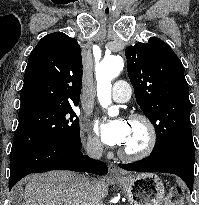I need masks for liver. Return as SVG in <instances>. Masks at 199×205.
Listing matches in <instances>:
<instances>
[{"mask_svg": "<svg viewBox=\"0 0 199 205\" xmlns=\"http://www.w3.org/2000/svg\"><path fill=\"white\" fill-rule=\"evenodd\" d=\"M84 178L69 171L30 175L20 194L19 205H90ZM94 185L101 199L108 195L105 178L95 180Z\"/></svg>", "mask_w": 199, "mask_h": 205, "instance_id": "liver-1", "label": "liver"}]
</instances>
